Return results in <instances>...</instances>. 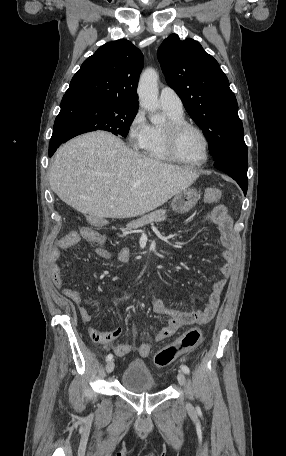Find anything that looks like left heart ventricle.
Returning a JSON list of instances; mask_svg holds the SVG:
<instances>
[{
	"label": "left heart ventricle",
	"instance_id": "1",
	"mask_svg": "<svg viewBox=\"0 0 286 456\" xmlns=\"http://www.w3.org/2000/svg\"><path fill=\"white\" fill-rule=\"evenodd\" d=\"M178 154L188 161H199L205 155V144L198 132L192 129L182 131L177 138Z\"/></svg>",
	"mask_w": 286,
	"mask_h": 456
}]
</instances>
